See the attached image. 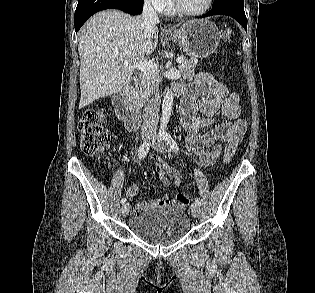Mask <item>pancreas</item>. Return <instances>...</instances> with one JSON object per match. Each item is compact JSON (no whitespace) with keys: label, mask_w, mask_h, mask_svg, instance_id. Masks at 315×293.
I'll list each match as a JSON object with an SVG mask.
<instances>
[{"label":"pancreas","mask_w":315,"mask_h":293,"mask_svg":"<svg viewBox=\"0 0 315 293\" xmlns=\"http://www.w3.org/2000/svg\"><path fill=\"white\" fill-rule=\"evenodd\" d=\"M197 63L198 62L196 59L184 58V62L179 64L178 68L184 79L190 80L195 76L194 68L196 67ZM150 79L158 80L159 76L157 73L149 72L142 77L141 82L135 88V90L132 92L130 96V101L133 105L140 106L146 100L148 96L147 83L149 82Z\"/></svg>","instance_id":"cf45deb5"}]
</instances>
